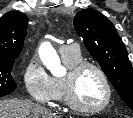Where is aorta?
I'll use <instances>...</instances> for the list:
<instances>
[{
    "label": "aorta",
    "mask_w": 133,
    "mask_h": 118,
    "mask_svg": "<svg viewBox=\"0 0 133 118\" xmlns=\"http://www.w3.org/2000/svg\"><path fill=\"white\" fill-rule=\"evenodd\" d=\"M40 57L53 75L57 76L63 73L64 68L61 66L60 59L52 46L47 45L40 53Z\"/></svg>",
    "instance_id": "1"
}]
</instances>
